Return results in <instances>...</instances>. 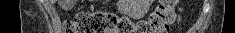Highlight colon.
Listing matches in <instances>:
<instances>
[{
  "label": "colon",
  "mask_w": 235,
  "mask_h": 33,
  "mask_svg": "<svg viewBox=\"0 0 235 33\" xmlns=\"http://www.w3.org/2000/svg\"><path fill=\"white\" fill-rule=\"evenodd\" d=\"M177 3V0H163L147 20L136 23L110 12H81L66 20L64 28L67 33H167L175 20Z\"/></svg>",
  "instance_id": "1"
}]
</instances>
